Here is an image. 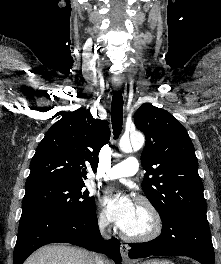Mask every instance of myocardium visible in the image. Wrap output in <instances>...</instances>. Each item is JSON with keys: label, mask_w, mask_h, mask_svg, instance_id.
<instances>
[{"label": "myocardium", "mask_w": 221, "mask_h": 264, "mask_svg": "<svg viewBox=\"0 0 221 264\" xmlns=\"http://www.w3.org/2000/svg\"><path fill=\"white\" fill-rule=\"evenodd\" d=\"M139 206H141L149 215L150 218L149 229L143 233H138V234H131L122 230V236L124 237V239L133 242L151 241L157 238L162 232V228H163L162 217L158 209L155 207V205L147 199H141L139 201Z\"/></svg>", "instance_id": "1"}]
</instances>
